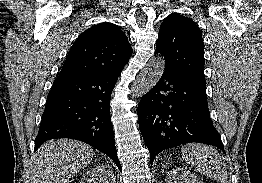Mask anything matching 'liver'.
Instances as JSON below:
<instances>
[{
	"label": "liver",
	"instance_id": "6515ba94",
	"mask_svg": "<svg viewBox=\"0 0 262 183\" xmlns=\"http://www.w3.org/2000/svg\"><path fill=\"white\" fill-rule=\"evenodd\" d=\"M91 146L71 139L50 140L31 158V183H67L93 159Z\"/></svg>",
	"mask_w": 262,
	"mask_h": 183
}]
</instances>
